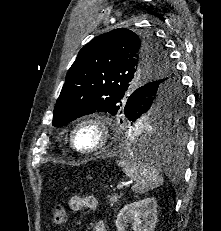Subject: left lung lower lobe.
Masks as SVG:
<instances>
[{
    "mask_svg": "<svg viewBox=\"0 0 221 231\" xmlns=\"http://www.w3.org/2000/svg\"><path fill=\"white\" fill-rule=\"evenodd\" d=\"M182 90V88H181ZM140 90H135L129 97L130 103L136 104L140 101ZM181 95L184 97L183 91ZM138 114H131L128 119L132 122L136 121ZM184 126V121L178 126V131L172 135H161L159 131L147 129L145 131H132L130 130L124 134L125 139L134 143L142 148L143 152L151 155H147L149 161L157 164H164L165 157L167 163L177 160L184 151V141L181 134V128ZM157 129L160 127L155 126ZM176 129V128H175ZM173 132V131H172ZM160 154L162 157L158 156Z\"/></svg>",
    "mask_w": 221,
    "mask_h": 231,
    "instance_id": "1",
    "label": "left lung lower lobe"
}]
</instances>
